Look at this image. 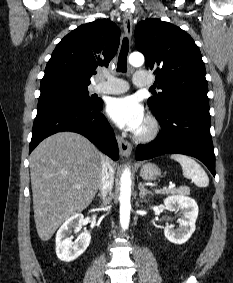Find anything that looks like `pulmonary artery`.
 I'll use <instances>...</instances> for the list:
<instances>
[{
  "label": "pulmonary artery",
  "mask_w": 233,
  "mask_h": 283,
  "mask_svg": "<svg viewBox=\"0 0 233 283\" xmlns=\"http://www.w3.org/2000/svg\"><path fill=\"white\" fill-rule=\"evenodd\" d=\"M101 78L104 81L94 87V90L98 93L122 94L128 90V83L123 79L108 73L103 74ZM152 82V79L143 72H136L133 78V83L138 87L150 85Z\"/></svg>",
  "instance_id": "e3ab8cb5"
}]
</instances>
